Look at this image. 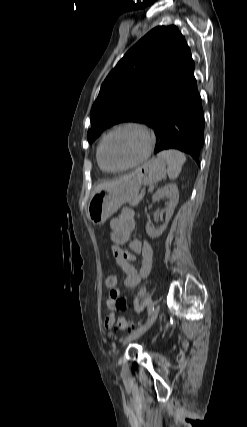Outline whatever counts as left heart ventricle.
I'll list each match as a JSON object with an SVG mask.
<instances>
[{"label": "left heart ventricle", "mask_w": 247, "mask_h": 427, "mask_svg": "<svg viewBox=\"0 0 247 427\" xmlns=\"http://www.w3.org/2000/svg\"><path fill=\"white\" fill-rule=\"evenodd\" d=\"M147 146L145 135L137 129L125 128L108 138L103 148V159L110 168H120L139 159Z\"/></svg>", "instance_id": "left-heart-ventricle-1"}]
</instances>
